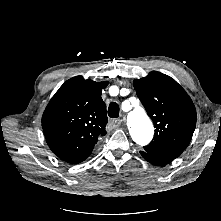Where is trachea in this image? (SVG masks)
Here are the masks:
<instances>
[{
    "mask_svg": "<svg viewBox=\"0 0 221 221\" xmlns=\"http://www.w3.org/2000/svg\"><path fill=\"white\" fill-rule=\"evenodd\" d=\"M119 112H120V109H119V105L117 103L112 102L109 104V107H108L109 117L117 118L119 116Z\"/></svg>",
    "mask_w": 221,
    "mask_h": 221,
    "instance_id": "obj_1",
    "label": "trachea"
}]
</instances>
